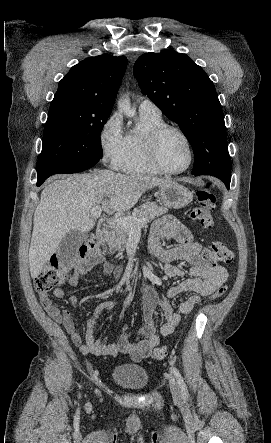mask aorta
I'll list each match as a JSON object with an SVG mask.
<instances>
[{
    "instance_id": "aorta-1",
    "label": "aorta",
    "mask_w": 271,
    "mask_h": 443,
    "mask_svg": "<svg viewBox=\"0 0 271 443\" xmlns=\"http://www.w3.org/2000/svg\"><path fill=\"white\" fill-rule=\"evenodd\" d=\"M118 110H121V112H123L124 116H127V118H133V116H136L135 110L131 108L130 98L128 94H125V96H123V98L119 100Z\"/></svg>"
}]
</instances>
